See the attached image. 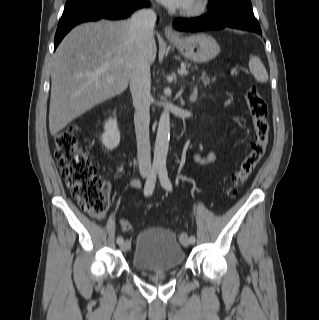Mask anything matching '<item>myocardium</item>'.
<instances>
[{
  "label": "myocardium",
  "instance_id": "obj_1",
  "mask_svg": "<svg viewBox=\"0 0 319 320\" xmlns=\"http://www.w3.org/2000/svg\"><path fill=\"white\" fill-rule=\"evenodd\" d=\"M210 0H192L190 5L183 8L182 15L185 16H197L204 13L209 7Z\"/></svg>",
  "mask_w": 319,
  "mask_h": 320
}]
</instances>
